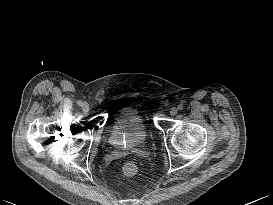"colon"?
<instances>
[{"instance_id":"5ec220e1","label":"colon","mask_w":273,"mask_h":205,"mask_svg":"<svg viewBox=\"0 0 273 205\" xmlns=\"http://www.w3.org/2000/svg\"><path fill=\"white\" fill-rule=\"evenodd\" d=\"M137 173V166L133 162H127L123 166V174L126 177H132Z\"/></svg>"}]
</instances>
